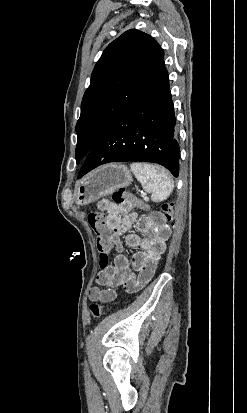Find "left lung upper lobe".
I'll use <instances>...</instances> for the list:
<instances>
[{"label": "left lung upper lobe", "mask_w": 247, "mask_h": 413, "mask_svg": "<svg viewBox=\"0 0 247 413\" xmlns=\"http://www.w3.org/2000/svg\"><path fill=\"white\" fill-rule=\"evenodd\" d=\"M164 65V51L148 34L131 29L104 50L84 93L75 131L76 161L87 156L111 123Z\"/></svg>", "instance_id": "5c2ea615"}]
</instances>
